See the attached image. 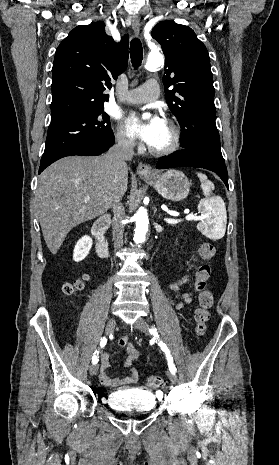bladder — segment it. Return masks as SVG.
<instances>
[{
  "label": "bladder",
  "mask_w": 279,
  "mask_h": 465,
  "mask_svg": "<svg viewBox=\"0 0 279 465\" xmlns=\"http://www.w3.org/2000/svg\"><path fill=\"white\" fill-rule=\"evenodd\" d=\"M106 402L112 409L120 412L149 413L157 407V399L152 392L133 388L109 393Z\"/></svg>",
  "instance_id": "31cf9c89"
}]
</instances>
